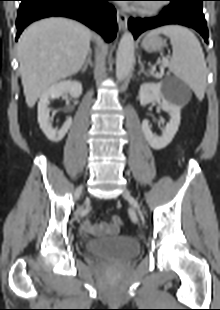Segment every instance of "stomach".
I'll return each instance as SVG.
<instances>
[{
    "instance_id": "stomach-1",
    "label": "stomach",
    "mask_w": 220,
    "mask_h": 310,
    "mask_svg": "<svg viewBox=\"0 0 220 310\" xmlns=\"http://www.w3.org/2000/svg\"><path fill=\"white\" fill-rule=\"evenodd\" d=\"M165 45H166V41L158 35L147 36L142 41V47L147 52L160 51L163 49Z\"/></svg>"
}]
</instances>
